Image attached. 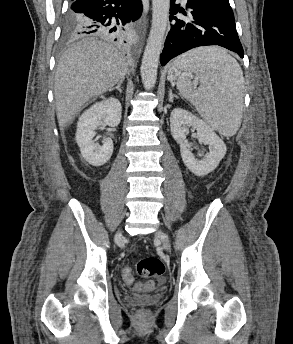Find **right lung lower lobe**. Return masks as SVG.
Wrapping results in <instances>:
<instances>
[{
  "instance_id": "98d812e1",
  "label": "right lung lower lobe",
  "mask_w": 293,
  "mask_h": 344,
  "mask_svg": "<svg viewBox=\"0 0 293 344\" xmlns=\"http://www.w3.org/2000/svg\"><path fill=\"white\" fill-rule=\"evenodd\" d=\"M70 11L86 19L81 35L94 33L127 42L131 33L129 26L140 18L142 4L141 0H74Z\"/></svg>"
}]
</instances>
